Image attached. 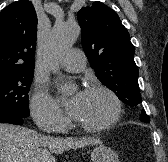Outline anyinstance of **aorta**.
<instances>
[{"label": "aorta", "mask_w": 168, "mask_h": 162, "mask_svg": "<svg viewBox=\"0 0 168 162\" xmlns=\"http://www.w3.org/2000/svg\"><path fill=\"white\" fill-rule=\"evenodd\" d=\"M80 35V27L75 22H57L49 35L44 49V60L51 69L75 43Z\"/></svg>", "instance_id": "obj_1"}]
</instances>
